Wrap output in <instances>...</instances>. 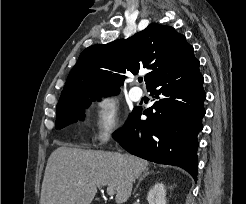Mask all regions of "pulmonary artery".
I'll use <instances>...</instances> for the list:
<instances>
[{
    "instance_id": "1",
    "label": "pulmonary artery",
    "mask_w": 246,
    "mask_h": 204,
    "mask_svg": "<svg viewBox=\"0 0 246 204\" xmlns=\"http://www.w3.org/2000/svg\"><path fill=\"white\" fill-rule=\"evenodd\" d=\"M130 98L133 101H139L141 100L142 96H143V92L140 88L138 87H133L130 92H129Z\"/></svg>"
}]
</instances>
